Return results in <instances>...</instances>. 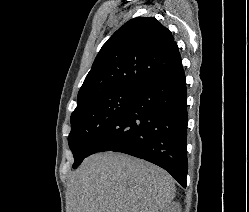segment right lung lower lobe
<instances>
[{"instance_id": "obj_1", "label": "right lung lower lobe", "mask_w": 249, "mask_h": 212, "mask_svg": "<svg viewBox=\"0 0 249 212\" xmlns=\"http://www.w3.org/2000/svg\"><path fill=\"white\" fill-rule=\"evenodd\" d=\"M186 130L187 90L181 64L143 87L88 154L114 151L147 160L186 187Z\"/></svg>"}]
</instances>
